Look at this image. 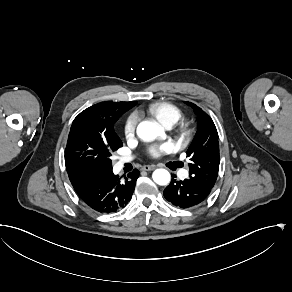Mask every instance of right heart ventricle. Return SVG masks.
<instances>
[{
    "label": "right heart ventricle",
    "instance_id": "obj_1",
    "mask_svg": "<svg viewBox=\"0 0 292 292\" xmlns=\"http://www.w3.org/2000/svg\"><path fill=\"white\" fill-rule=\"evenodd\" d=\"M147 112L163 126L169 122L175 125L181 118L180 109L164 101H157L149 104Z\"/></svg>",
    "mask_w": 292,
    "mask_h": 292
}]
</instances>
